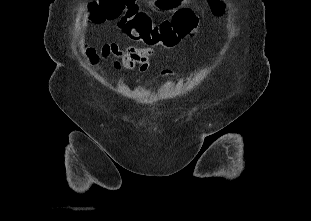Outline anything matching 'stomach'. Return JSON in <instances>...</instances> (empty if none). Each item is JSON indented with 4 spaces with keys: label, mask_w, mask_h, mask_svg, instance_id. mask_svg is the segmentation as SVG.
Returning a JSON list of instances; mask_svg holds the SVG:
<instances>
[{
    "label": "stomach",
    "mask_w": 311,
    "mask_h": 221,
    "mask_svg": "<svg viewBox=\"0 0 311 221\" xmlns=\"http://www.w3.org/2000/svg\"><path fill=\"white\" fill-rule=\"evenodd\" d=\"M151 2L156 10H166V12H170V10L180 8L185 0H151Z\"/></svg>",
    "instance_id": "1"
}]
</instances>
